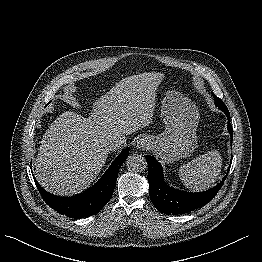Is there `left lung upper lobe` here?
I'll return each mask as SVG.
<instances>
[{
  "instance_id": "5c2ea615",
  "label": "left lung upper lobe",
  "mask_w": 262,
  "mask_h": 262,
  "mask_svg": "<svg viewBox=\"0 0 262 262\" xmlns=\"http://www.w3.org/2000/svg\"><path fill=\"white\" fill-rule=\"evenodd\" d=\"M213 97L215 99L216 106H218L219 108H227L226 105L223 103V101L220 98H218L214 94H213Z\"/></svg>"
}]
</instances>
